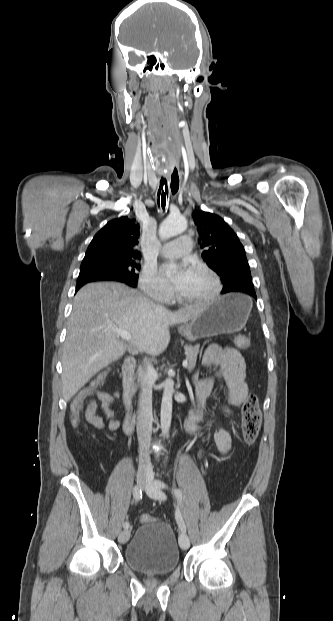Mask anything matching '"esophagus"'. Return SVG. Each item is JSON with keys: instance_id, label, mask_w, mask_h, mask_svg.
I'll return each mask as SVG.
<instances>
[{"instance_id": "34e87169", "label": "esophagus", "mask_w": 333, "mask_h": 621, "mask_svg": "<svg viewBox=\"0 0 333 621\" xmlns=\"http://www.w3.org/2000/svg\"><path fill=\"white\" fill-rule=\"evenodd\" d=\"M169 186V192L171 196H176L179 192V183H181V176L178 169L172 170L167 177Z\"/></svg>"}]
</instances>
